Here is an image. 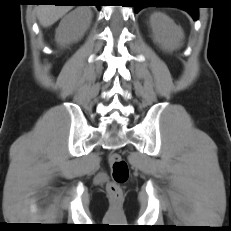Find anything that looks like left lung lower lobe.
<instances>
[{"instance_id":"0a47b994","label":"left lung lower lobe","mask_w":231,"mask_h":231,"mask_svg":"<svg viewBox=\"0 0 231 231\" xmlns=\"http://www.w3.org/2000/svg\"><path fill=\"white\" fill-rule=\"evenodd\" d=\"M135 12L144 7H158V4H174L170 7H178L187 11L194 20L198 19V7L192 0H134Z\"/></svg>"}]
</instances>
